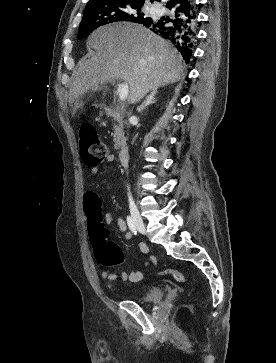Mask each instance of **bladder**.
I'll list each match as a JSON object with an SVG mask.
<instances>
[{
    "instance_id": "obj_1",
    "label": "bladder",
    "mask_w": 276,
    "mask_h": 363,
    "mask_svg": "<svg viewBox=\"0 0 276 363\" xmlns=\"http://www.w3.org/2000/svg\"><path fill=\"white\" fill-rule=\"evenodd\" d=\"M164 297V289L162 287H152L148 289L143 296L139 299L141 303H154L159 302Z\"/></svg>"
}]
</instances>
